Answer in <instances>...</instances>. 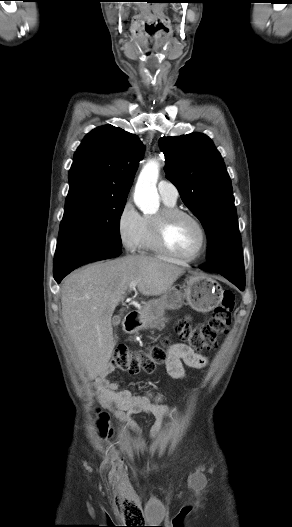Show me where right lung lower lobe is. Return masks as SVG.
Listing matches in <instances>:
<instances>
[{
    "instance_id": "obj_1",
    "label": "right lung lower lobe",
    "mask_w": 292,
    "mask_h": 527,
    "mask_svg": "<svg viewBox=\"0 0 292 527\" xmlns=\"http://www.w3.org/2000/svg\"><path fill=\"white\" fill-rule=\"evenodd\" d=\"M121 253V247L101 240H58L54 257V279L60 283L68 273L81 265L114 258Z\"/></svg>"
}]
</instances>
